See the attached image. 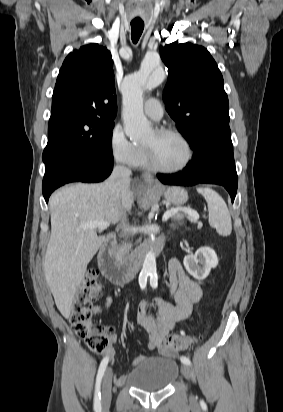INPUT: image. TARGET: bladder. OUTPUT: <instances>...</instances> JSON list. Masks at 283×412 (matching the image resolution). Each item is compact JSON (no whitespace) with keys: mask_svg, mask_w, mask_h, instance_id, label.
<instances>
[{"mask_svg":"<svg viewBox=\"0 0 283 412\" xmlns=\"http://www.w3.org/2000/svg\"><path fill=\"white\" fill-rule=\"evenodd\" d=\"M179 375L176 361L165 358L147 359L126 376L129 386L144 391H160L173 384Z\"/></svg>","mask_w":283,"mask_h":412,"instance_id":"bladder-1","label":"bladder"}]
</instances>
